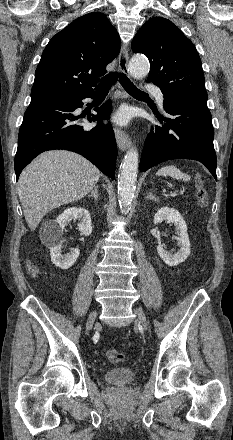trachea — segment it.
I'll use <instances>...</instances> for the list:
<instances>
[{
	"mask_svg": "<svg viewBox=\"0 0 233 440\" xmlns=\"http://www.w3.org/2000/svg\"><path fill=\"white\" fill-rule=\"evenodd\" d=\"M119 78V82L122 84L124 89L133 96H141V97H148V94L138 89L130 80L129 78L124 74H118V73H110L107 76H105L101 82L100 87L97 89L99 92H107L112 84H114L117 79Z\"/></svg>",
	"mask_w": 233,
	"mask_h": 440,
	"instance_id": "1",
	"label": "trachea"
}]
</instances>
